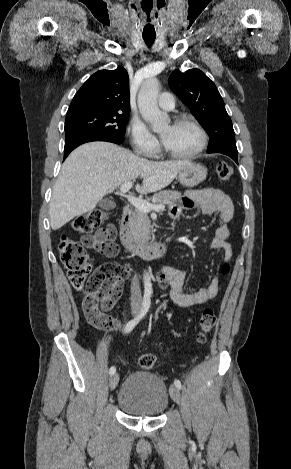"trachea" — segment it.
I'll list each match as a JSON object with an SVG mask.
<instances>
[{"instance_id":"trachea-1","label":"trachea","mask_w":291,"mask_h":469,"mask_svg":"<svg viewBox=\"0 0 291 469\" xmlns=\"http://www.w3.org/2000/svg\"><path fill=\"white\" fill-rule=\"evenodd\" d=\"M143 39L148 46H151L155 40V37H143Z\"/></svg>"}]
</instances>
